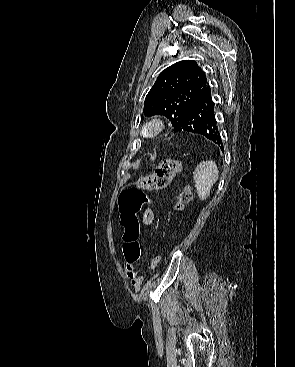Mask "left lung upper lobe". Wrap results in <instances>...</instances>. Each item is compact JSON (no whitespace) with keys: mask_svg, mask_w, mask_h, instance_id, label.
<instances>
[{"mask_svg":"<svg viewBox=\"0 0 295 367\" xmlns=\"http://www.w3.org/2000/svg\"><path fill=\"white\" fill-rule=\"evenodd\" d=\"M208 84L206 74L193 60L164 69L144 101V114L166 116L174 130Z\"/></svg>","mask_w":295,"mask_h":367,"instance_id":"5c2ea615","label":"left lung upper lobe"}]
</instances>
